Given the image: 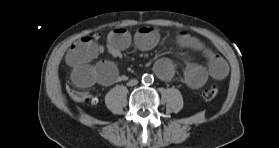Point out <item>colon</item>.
I'll return each mask as SVG.
<instances>
[{
	"instance_id": "5ec220e1",
	"label": "colon",
	"mask_w": 279,
	"mask_h": 148,
	"mask_svg": "<svg viewBox=\"0 0 279 148\" xmlns=\"http://www.w3.org/2000/svg\"><path fill=\"white\" fill-rule=\"evenodd\" d=\"M70 92H71L73 98L78 102H83V103H95L96 102V98L87 92L75 91L73 89H70ZM217 95H218V88L216 86L207 87L202 92V97L205 100H212Z\"/></svg>"
}]
</instances>
